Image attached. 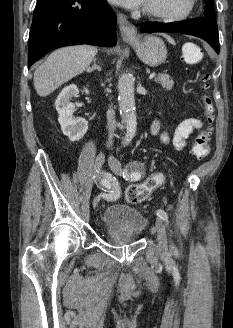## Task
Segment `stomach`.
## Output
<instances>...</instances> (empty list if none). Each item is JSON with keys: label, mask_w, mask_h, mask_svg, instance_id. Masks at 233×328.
I'll list each match as a JSON object with an SVG mask.
<instances>
[{"label": "stomach", "mask_w": 233, "mask_h": 328, "mask_svg": "<svg viewBox=\"0 0 233 328\" xmlns=\"http://www.w3.org/2000/svg\"><path fill=\"white\" fill-rule=\"evenodd\" d=\"M134 47L138 57L145 64L158 66L167 58V49L164 41L154 35L132 38L128 40Z\"/></svg>", "instance_id": "obj_1"}]
</instances>
